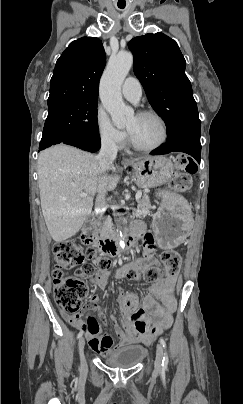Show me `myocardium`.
<instances>
[{
	"instance_id": "obj_1",
	"label": "myocardium",
	"mask_w": 243,
	"mask_h": 404,
	"mask_svg": "<svg viewBox=\"0 0 243 404\" xmlns=\"http://www.w3.org/2000/svg\"><path fill=\"white\" fill-rule=\"evenodd\" d=\"M129 34H134V32H129ZM136 116L155 117L161 124L163 135H162L161 140L159 142H157L156 144L150 145V146H144V145H140L137 142H135L134 139L129 134V141H130L132 148L137 151L152 152V151L158 150L161 147H163L169 139V126H168L166 119L159 112L152 110V109L142 110V111L138 112Z\"/></svg>"
}]
</instances>
